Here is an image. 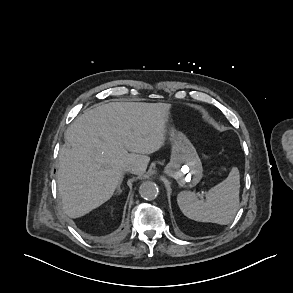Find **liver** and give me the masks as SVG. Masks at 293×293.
Listing matches in <instances>:
<instances>
[{"mask_svg": "<svg viewBox=\"0 0 293 293\" xmlns=\"http://www.w3.org/2000/svg\"><path fill=\"white\" fill-rule=\"evenodd\" d=\"M171 106L112 102L88 109L65 131L59 153L58 190L63 210L81 217L108 201L125 168L143 174L149 154L165 142Z\"/></svg>", "mask_w": 293, "mask_h": 293, "instance_id": "6515ba94", "label": "liver"}]
</instances>
